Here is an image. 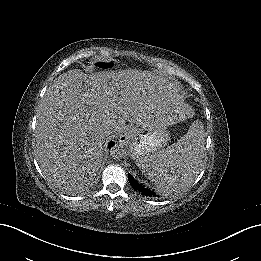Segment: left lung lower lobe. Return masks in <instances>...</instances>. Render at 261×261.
Wrapping results in <instances>:
<instances>
[{
	"label": "left lung lower lobe",
	"mask_w": 261,
	"mask_h": 261,
	"mask_svg": "<svg viewBox=\"0 0 261 261\" xmlns=\"http://www.w3.org/2000/svg\"><path fill=\"white\" fill-rule=\"evenodd\" d=\"M129 182L131 186L135 189L138 190L142 195L148 196V197H159L154 191L145 188L143 184L138 183L136 180L133 179L131 175H128Z\"/></svg>",
	"instance_id": "0a47b994"
}]
</instances>
